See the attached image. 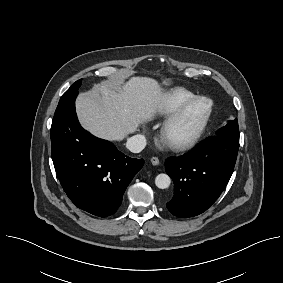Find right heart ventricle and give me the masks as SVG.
Returning a JSON list of instances; mask_svg holds the SVG:
<instances>
[{
    "mask_svg": "<svg viewBox=\"0 0 283 283\" xmlns=\"http://www.w3.org/2000/svg\"><path fill=\"white\" fill-rule=\"evenodd\" d=\"M196 95L183 87H175L165 92L155 105V114L168 117L177 112L184 104Z\"/></svg>",
    "mask_w": 283,
    "mask_h": 283,
    "instance_id": "e07e8e85",
    "label": "right heart ventricle"
}]
</instances>
